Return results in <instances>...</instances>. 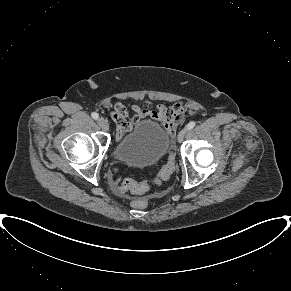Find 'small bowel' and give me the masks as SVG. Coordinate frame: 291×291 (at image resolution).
I'll return each instance as SVG.
<instances>
[{
    "instance_id": "1",
    "label": "small bowel",
    "mask_w": 291,
    "mask_h": 291,
    "mask_svg": "<svg viewBox=\"0 0 291 291\" xmlns=\"http://www.w3.org/2000/svg\"><path fill=\"white\" fill-rule=\"evenodd\" d=\"M184 113L185 104L182 102L166 106L154 105L147 100L143 105L132 104L130 110L124 104L117 102L111 111L117 129L116 141H120L140 120L146 118L159 123L168 134L172 135L183 121Z\"/></svg>"
}]
</instances>
